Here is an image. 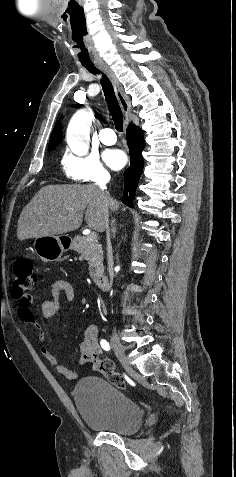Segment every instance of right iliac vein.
I'll use <instances>...</instances> for the list:
<instances>
[{
  "mask_svg": "<svg viewBox=\"0 0 236 477\" xmlns=\"http://www.w3.org/2000/svg\"><path fill=\"white\" fill-rule=\"evenodd\" d=\"M111 345L112 348L116 354V356L119 358V360L123 363L127 371L132 372V368L128 365L125 351L123 348L122 343L120 342L119 338L117 335H112L111 337Z\"/></svg>",
  "mask_w": 236,
  "mask_h": 477,
  "instance_id": "63e3f726",
  "label": "right iliac vein"
}]
</instances>
